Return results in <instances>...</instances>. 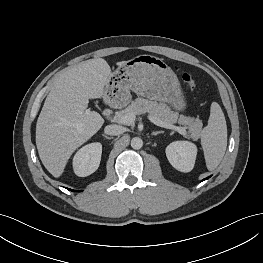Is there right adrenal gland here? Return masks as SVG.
<instances>
[{"label": "right adrenal gland", "instance_id": "obj_1", "mask_svg": "<svg viewBox=\"0 0 263 263\" xmlns=\"http://www.w3.org/2000/svg\"><path fill=\"white\" fill-rule=\"evenodd\" d=\"M103 137L107 138V139H110L107 135L105 134H102Z\"/></svg>", "mask_w": 263, "mask_h": 263}]
</instances>
